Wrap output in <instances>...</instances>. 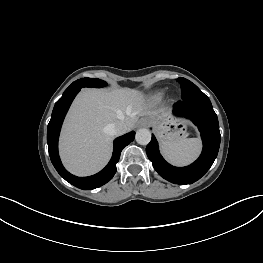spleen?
<instances>
[{
	"mask_svg": "<svg viewBox=\"0 0 263 263\" xmlns=\"http://www.w3.org/2000/svg\"><path fill=\"white\" fill-rule=\"evenodd\" d=\"M201 149L202 144L199 138H178L161 144L165 158L177 166H185L195 161Z\"/></svg>",
	"mask_w": 263,
	"mask_h": 263,
	"instance_id": "1",
	"label": "spleen"
}]
</instances>
